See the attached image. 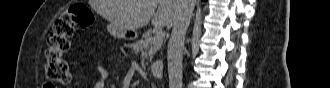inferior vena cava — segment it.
Instances as JSON below:
<instances>
[{
	"mask_svg": "<svg viewBox=\"0 0 330 88\" xmlns=\"http://www.w3.org/2000/svg\"><path fill=\"white\" fill-rule=\"evenodd\" d=\"M178 15L173 23L168 43L169 88H182V52L184 40L193 13V0H179Z\"/></svg>",
	"mask_w": 330,
	"mask_h": 88,
	"instance_id": "obj_1",
	"label": "inferior vena cava"
}]
</instances>
